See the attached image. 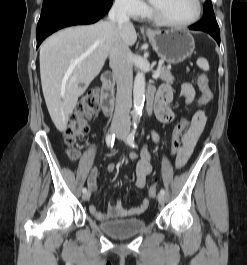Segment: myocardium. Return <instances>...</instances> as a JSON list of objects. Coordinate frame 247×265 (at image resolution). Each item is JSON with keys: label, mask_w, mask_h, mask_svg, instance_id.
Returning <instances> with one entry per match:
<instances>
[{"label": "myocardium", "mask_w": 247, "mask_h": 265, "mask_svg": "<svg viewBox=\"0 0 247 265\" xmlns=\"http://www.w3.org/2000/svg\"><path fill=\"white\" fill-rule=\"evenodd\" d=\"M196 5H197V11L190 20L185 21V22H174L167 17H165L152 3L149 1L148 2V12L150 16L152 17L153 20H155L157 23L171 27V28H186L194 25L197 23L202 14H203V4L201 0H196Z\"/></svg>", "instance_id": "myocardium-1"}]
</instances>
